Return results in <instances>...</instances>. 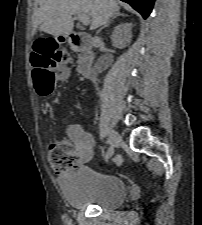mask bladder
<instances>
[{
    "label": "bladder",
    "instance_id": "31cf9c89",
    "mask_svg": "<svg viewBox=\"0 0 202 225\" xmlns=\"http://www.w3.org/2000/svg\"><path fill=\"white\" fill-rule=\"evenodd\" d=\"M63 196L72 208L98 206L117 209L125 205L124 180L111 172L84 166L62 180Z\"/></svg>",
    "mask_w": 202,
    "mask_h": 225
}]
</instances>
